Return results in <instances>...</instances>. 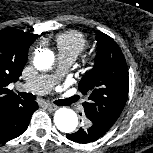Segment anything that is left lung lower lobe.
Wrapping results in <instances>:
<instances>
[{
  "instance_id": "left-lung-lower-lobe-1",
  "label": "left lung lower lobe",
  "mask_w": 153,
  "mask_h": 153,
  "mask_svg": "<svg viewBox=\"0 0 153 153\" xmlns=\"http://www.w3.org/2000/svg\"><path fill=\"white\" fill-rule=\"evenodd\" d=\"M104 134V132L98 130L95 126L90 125L86 129L81 128L75 133L67 134L66 137L71 141L85 144L98 140Z\"/></svg>"
}]
</instances>
